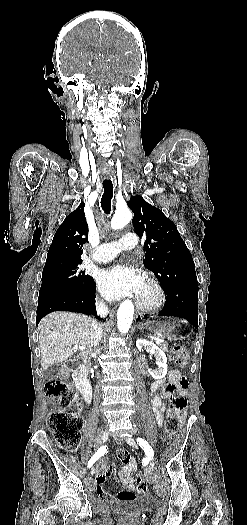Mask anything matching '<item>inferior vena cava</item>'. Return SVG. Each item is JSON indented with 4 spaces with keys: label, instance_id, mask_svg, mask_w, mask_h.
<instances>
[{
    "label": "inferior vena cava",
    "instance_id": "1",
    "mask_svg": "<svg viewBox=\"0 0 247 525\" xmlns=\"http://www.w3.org/2000/svg\"><path fill=\"white\" fill-rule=\"evenodd\" d=\"M96 313L98 317H101V319H105L107 315H109V309L106 307L105 303H97L96 305ZM102 333H103V325L102 323H96L95 325V331L93 333V345H94V355H91V357H96L97 355V349L100 345V341L102 339Z\"/></svg>",
    "mask_w": 247,
    "mask_h": 525
}]
</instances>
